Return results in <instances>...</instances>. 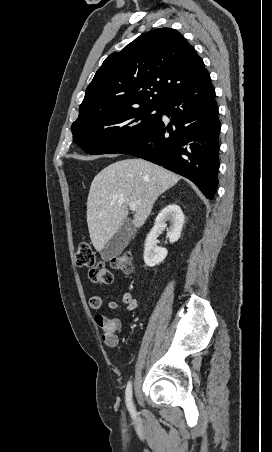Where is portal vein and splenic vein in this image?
<instances>
[{
	"instance_id": "1",
	"label": "portal vein and splenic vein",
	"mask_w": 272,
	"mask_h": 452,
	"mask_svg": "<svg viewBox=\"0 0 272 452\" xmlns=\"http://www.w3.org/2000/svg\"><path fill=\"white\" fill-rule=\"evenodd\" d=\"M129 208H130L131 211H135L136 210V203H134V202L129 203Z\"/></svg>"
}]
</instances>
